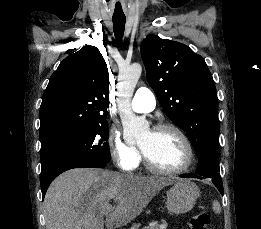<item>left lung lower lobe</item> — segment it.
<instances>
[{"instance_id": "obj_1", "label": "left lung lower lobe", "mask_w": 261, "mask_h": 229, "mask_svg": "<svg viewBox=\"0 0 261 229\" xmlns=\"http://www.w3.org/2000/svg\"><path fill=\"white\" fill-rule=\"evenodd\" d=\"M219 159L217 151H208L199 159L198 170L196 174H183L180 177L199 179L211 178L217 189L223 195V185L220 176Z\"/></svg>"}]
</instances>
